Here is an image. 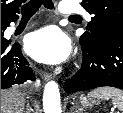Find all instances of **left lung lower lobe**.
I'll return each mask as SVG.
<instances>
[{"instance_id":"0a47b994","label":"left lung lower lobe","mask_w":123,"mask_h":113,"mask_svg":"<svg viewBox=\"0 0 123 113\" xmlns=\"http://www.w3.org/2000/svg\"><path fill=\"white\" fill-rule=\"evenodd\" d=\"M80 44L82 66L64 83L65 92L74 93L103 86L123 89V27L106 21L98 40Z\"/></svg>"}]
</instances>
